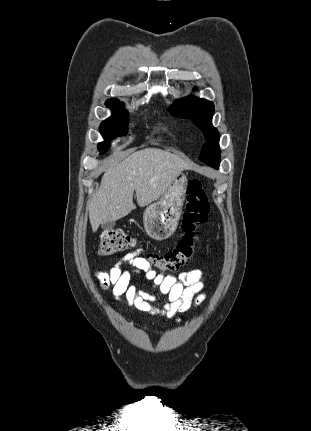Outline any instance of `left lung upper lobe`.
Wrapping results in <instances>:
<instances>
[{
  "instance_id": "obj_1",
  "label": "left lung upper lobe",
  "mask_w": 311,
  "mask_h": 431,
  "mask_svg": "<svg viewBox=\"0 0 311 431\" xmlns=\"http://www.w3.org/2000/svg\"><path fill=\"white\" fill-rule=\"evenodd\" d=\"M169 110L174 116L191 118L196 126L203 131L206 143L201 149L199 159L214 168H218L220 161L219 133L212 126L214 104L205 99L185 97L175 101Z\"/></svg>"
}]
</instances>
